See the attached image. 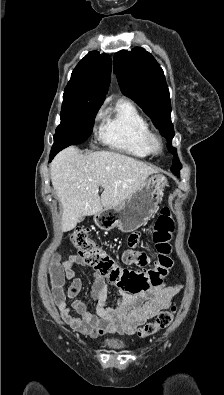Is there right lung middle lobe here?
<instances>
[{"label":"right lung middle lobe","mask_w":224,"mask_h":395,"mask_svg":"<svg viewBox=\"0 0 224 395\" xmlns=\"http://www.w3.org/2000/svg\"><path fill=\"white\" fill-rule=\"evenodd\" d=\"M102 100L73 92H64L61 123L54 135V144L72 145L87 140Z\"/></svg>","instance_id":"dd1d6c3e"}]
</instances>
